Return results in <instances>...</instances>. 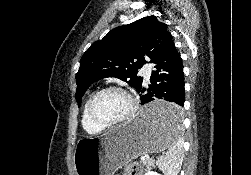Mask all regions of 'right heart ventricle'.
I'll return each instance as SVG.
<instances>
[{
    "label": "right heart ventricle",
    "instance_id": "e07e8e85",
    "mask_svg": "<svg viewBox=\"0 0 251 175\" xmlns=\"http://www.w3.org/2000/svg\"><path fill=\"white\" fill-rule=\"evenodd\" d=\"M94 93H92L91 95H89V97L87 98V100L85 101L84 107H83V111H82V127L84 129V131L90 135H99L101 134L105 128L94 124L88 117V103L91 99V97L93 96Z\"/></svg>",
    "mask_w": 251,
    "mask_h": 175
}]
</instances>
